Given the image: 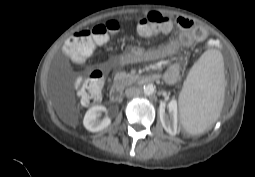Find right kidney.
<instances>
[{"instance_id":"1","label":"right kidney","mask_w":255,"mask_h":177,"mask_svg":"<svg viewBox=\"0 0 255 177\" xmlns=\"http://www.w3.org/2000/svg\"><path fill=\"white\" fill-rule=\"evenodd\" d=\"M106 111V107L96 105L91 107L85 114L83 125L90 132H98L111 124V119L107 116L100 119L102 112Z\"/></svg>"}]
</instances>
